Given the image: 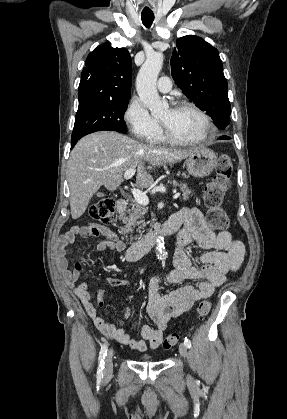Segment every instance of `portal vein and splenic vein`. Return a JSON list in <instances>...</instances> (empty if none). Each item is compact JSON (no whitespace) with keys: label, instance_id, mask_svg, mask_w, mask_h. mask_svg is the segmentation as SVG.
Segmentation results:
<instances>
[{"label":"portal vein and splenic vein","instance_id":"obj_1","mask_svg":"<svg viewBox=\"0 0 287 419\" xmlns=\"http://www.w3.org/2000/svg\"><path fill=\"white\" fill-rule=\"evenodd\" d=\"M135 172L136 171L134 169L126 170L124 173V178L126 180L131 179L135 175ZM131 192L135 201H137L139 204L144 205V206L149 204V199L145 192L136 188L131 189ZM179 196H180V193L175 192L173 199H177Z\"/></svg>","mask_w":287,"mask_h":419}]
</instances>
